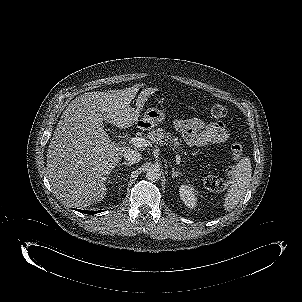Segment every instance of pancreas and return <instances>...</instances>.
Returning a JSON list of instances; mask_svg holds the SVG:
<instances>
[{
	"label": "pancreas",
	"instance_id": "1",
	"mask_svg": "<svg viewBox=\"0 0 302 302\" xmlns=\"http://www.w3.org/2000/svg\"><path fill=\"white\" fill-rule=\"evenodd\" d=\"M148 138L160 145H173L175 148L181 146V140L178 137L173 136L171 133L166 132L163 128H158L151 131L148 134Z\"/></svg>",
	"mask_w": 302,
	"mask_h": 302
}]
</instances>
